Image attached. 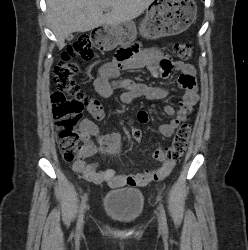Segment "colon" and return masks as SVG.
Returning <instances> with one entry per match:
<instances>
[{
    "label": "colon",
    "mask_w": 248,
    "mask_h": 250,
    "mask_svg": "<svg viewBox=\"0 0 248 250\" xmlns=\"http://www.w3.org/2000/svg\"><path fill=\"white\" fill-rule=\"evenodd\" d=\"M92 41L93 38L88 34L79 36L69 44L55 68L54 82L57 90L51 96L52 111L61 155L64 161L69 163L77 162L80 156L81 148L77 124L82 111L94 103V100L89 98L74 80L78 64L89 62L94 58ZM129 49L118 53L117 60L119 62L129 57ZM173 50L181 59L188 60L192 56V45L187 42L175 43ZM191 132L192 128L189 122H184L179 127L171 145L163 150L168 161L176 163L180 160L188 148ZM140 136L138 130L132 132L135 141H138Z\"/></svg>",
    "instance_id": "colon-1"
}]
</instances>
